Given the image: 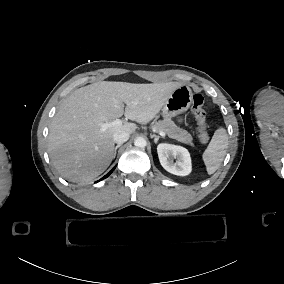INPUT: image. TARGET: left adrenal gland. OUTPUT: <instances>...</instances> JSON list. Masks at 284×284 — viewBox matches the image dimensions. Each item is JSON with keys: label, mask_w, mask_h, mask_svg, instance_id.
<instances>
[{"label": "left adrenal gland", "mask_w": 284, "mask_h": 284, "mask_svg": "<svg viewBox=\"0 0 284 284\" xmlns=\"http://www.w3.org/2000/svg\"><path fill=\"white\" fill-rule=\"evenodd\" d=\"M150 136H151V138H154V142H155V143H157L158 140H159V138H161L159 135H155V134H152V135H150Z\"/></svg>", "instance_id": "1"}]
</instances>
